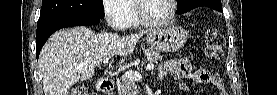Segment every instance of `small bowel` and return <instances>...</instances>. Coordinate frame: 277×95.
Returning a JSON list of instances; mask_svg holds the SVG:
<instances>
[{"label": "small bowel", "instance_id": "obj_1", "mask_svg": "<svg viewBox=\"0 0 277 95\" xmlns=\"http://www.w3.org/2000/svg\"><path fill=\"white\" fill-rule=\"evenodd\" d=\"M158 76L163 78L169 74L175 79L189 78L198 83L211 84L217 87L220 94H227L223 80L216 74L205 69L193 70L192 65L187 57L167 60L158 67ZM181 90H186L184 86H180Z\"/></svg>", "mask_w": 277, "mask_h": 95}]
</instances>
